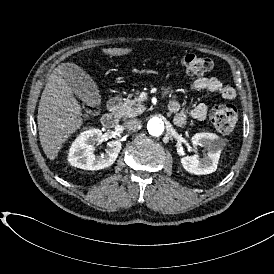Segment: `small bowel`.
Segmentation results:
<instances>
[{
  "label": "small bowel",
  "mask_w": 274,
  "mask_h": 274,
  "mask_svg": "<svg viewBox=\"0 0 274 274\" xmlns=\"http://www.w3.org/2000/svg\"><path fill=\"white\" fill-rule=\"evenodd\" d=\"M191 91H209L216 92L226 101H231L236 98V90L225 84L224 81L217 77H198L191 84ZM168 109L174 114V123L177 126L186 124L188 116L195 120L203 121L208 113V107L205 103L196 104L189 114L181 109L180 104L176 100H171L168 103Z\"/></svg>",
  "instance_id": "obj_1"
}]
</instances>
